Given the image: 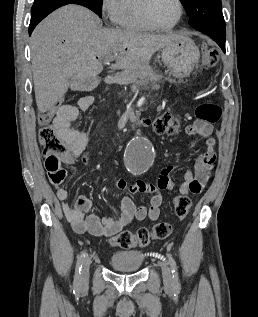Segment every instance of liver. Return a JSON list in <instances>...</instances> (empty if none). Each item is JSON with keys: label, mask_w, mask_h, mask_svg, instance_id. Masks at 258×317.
Instances as JSON below:
<instances>
[{"label": "liver", "mask_w": 258, "mask_h": 317, "mask_svg": "<svg viewBox=\"0 0 258 317\" xmlns=\"http://www.w3.org/2000/svg\"><path fill=\"white\" fill-rule=\"evenodd\" d=\"M95 12L79 4H66L51 12L34 28L30 40L36 104L47 112L69 86L82 90L99 82L101 56L117 54L110 68L145 70L160 48L178 42L183 32L151 34L121 28H98Z\"/></svg>", "instance_id": "6515ba94"}]
</instances>
